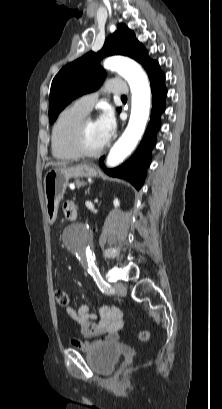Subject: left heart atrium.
<instances>
[{
  "label": "left heart atrium",
  "instance_id": "obj_1",
  "mask_svg": "<svg viewBox=\"0 0 222 409\" xmlns=\"http://www.w3.org/2000/svg\"><path fill=\"white\" fill-rule=\"evenodd\" d=\"M96 126L100 134L102 145H106L115 132V119L111 110L105 109L98 119Z\"/></svg>",
  "mask_w": 222,
  "mask_h": 409
}]
</instances>
